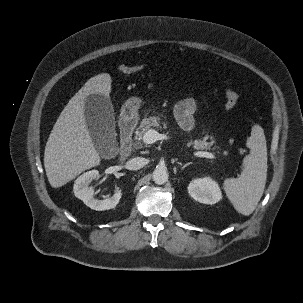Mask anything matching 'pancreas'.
<instances>
[{
  "instance_id": "cf45deb5",
  "label": "pancreas",
  "mask_w": 303,
  "mask_h": 303,
  "mask_svg": "<svg viewBox=\"0 0 303 303\" xmlns=\"http://www.w3.org/2000/svg\"><path fill=\"white\" fill-rule=\"evenodd\" d=\"M161 125L164 127L166 126L165 122H162L159 116H150V117H145L141 124L140 127L138 128L136 135L138 138H141L145 132L152 128H161ZM214 141L212 140L211 142H207V137H203V139H196V140H191L188 145H192L194 149L196 150H210L211 146L213 145ZM138 148L141 147L140 144L137 146Z\"/></svg>"
}]
</instances>
